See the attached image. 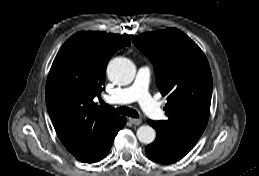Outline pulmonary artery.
Listing matches in <instances>:
<instances>
[{
    "label": "pulmonary artery",
    "mask_w": 259,
    "mask_h": 176,
    "mask_svg": "<svg viewBox=\"0 0 259 176\" xmlns=\"http://www.w3.org/2000/svg\"><path fill=\"white\" fill-rule=\"evenodd\" d=\"M150 69L147 66L139 68L135 81L130 86L118 90L106 98L111 104H125L138 101L143 111L155 120L163 117V111L158 102L148 92Z\"/></svg>",
    "instance_id": "pulmonary-artery-1"
}]
</instances>
